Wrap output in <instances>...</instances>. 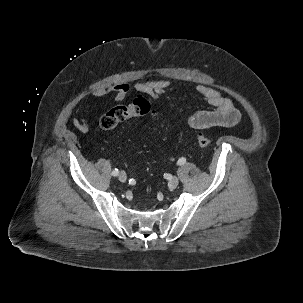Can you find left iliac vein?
Masks as SVG:
<instances>
[{"mask_svg": "<svg viewBox=\"0 0 303 303\" xmlns=\"http://www.w3.org/2000/svg\"><path fill=\"white\" fill-rule=\"evenodd\" d=\"M178 184H179V179L176 176L170 178L168 181V187L172 190L175 189L178 186Z\"/></svg>", "mask_w": 303, "mask_h": 303, "instance_id": "4c4485c4", "label": "left iliac vein"}]
</instances>
